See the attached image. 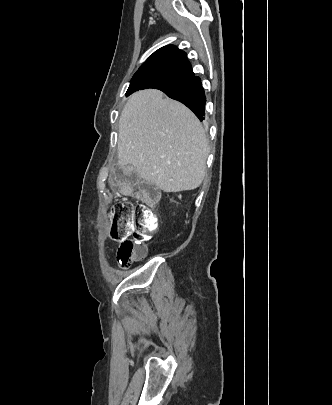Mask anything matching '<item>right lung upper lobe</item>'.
Wrapping results in <instances>:
<instances>
[{"label": "right lung upper lobe", "instance_id": "cb5924a9", "mask_svg": "<svg viewBox=\"0 0 332 405\" xmlns=\"http://www.w3.org/2000/svg\"><path fill=\"white\" fill-rule=\"evenodd\" d=\"M149 71L180 76L184 80L195 75L187 60L186 53L173 45H167L155 51L136 73Z\"/></svg>", "mask_w": 332, "mask_h": 405}]
</instances>
